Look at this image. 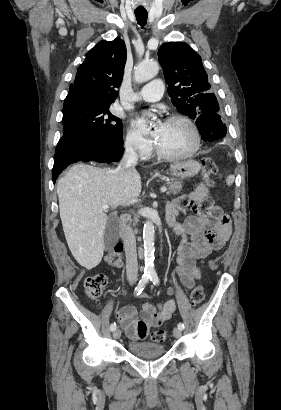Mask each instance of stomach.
I'll return each mask as SVG.
<instances>
[{
    "label": "stomach",
    "instance_id": "1",
    "mask_svg": "<svg viewBox=\"0 0 281 410\" xmlns=\"http://www.w3.org/2000/svg\"><path fill=\"white\" fill-rule=\"evenodd\" d=\"M201 169L199 162L188 159L180 162L173 163L170 166V171L173 176L178 178H191L195 176Z\"/></svg>",
    "mask_w": 281,
    "mask_h": 410
}]
</instances>
